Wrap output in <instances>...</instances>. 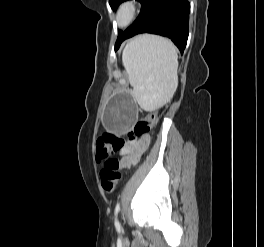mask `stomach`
<instances>
[{"mask_svg": "<svg viewBox=\"0 0 264 247\" xmlns=\"http://www.w3.org/2000/svg\"><path fill=\"white\" fill-rule=\"evenodd\" d=\"M135 94H117L107 104L104 122L114 131V136H126L137 123Z\"/></svg>", "mask_w": 264, "mask_h": 247, "instance_id": "0dacf381", "label": "stomach"}]
</instances>
